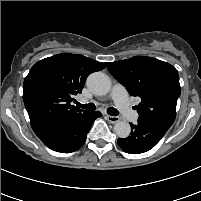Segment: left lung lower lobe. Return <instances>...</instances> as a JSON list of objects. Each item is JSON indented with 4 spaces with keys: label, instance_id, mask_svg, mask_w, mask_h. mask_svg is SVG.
Returning a JSON list of instances; mask_svg holds the SVG:
<instances>
[{
    "label": "left lung lower lobe",
    "instance_id": "0a47b994",
    "mask_svg": "<svg viewBox=\"0 0 201 201\" xmlns=\"http://www.w3.org/2000/svg\"><path fill=\"white\" fill-rule=\"evenodd\" d=\"M169 128V125L160 122L138 121L136 125L131 123L130 136L125 139L119 138L117 143L129 154L147 152L161 140Z\"/></svg>",
    "mask_w": 201,
    "mask_h": 201
}]
</instances>
